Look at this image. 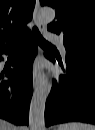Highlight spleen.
Instances as JSON below:
<instances>
[{"label": "spleen", "instance_id": "spleen-1", "mask_svg": "<svg viewBox=\"0 0 95 130\" xmlns=\"http://www.w3.org/2000/svg\"><path fill=\"white\" fill-rule=\"evenodd\" d=\"M58 130H95V127L81 122H69L61 124Z\"/></svg>", "mask_w": 95, "mask_h": 130}]
</instances>
